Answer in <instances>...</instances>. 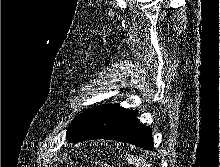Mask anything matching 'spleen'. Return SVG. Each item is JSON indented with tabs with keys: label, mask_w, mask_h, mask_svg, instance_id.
Segmentation results:
<instances>
[{
	"label": "spleen",
	"mask_w": 220,
	"mask_h": 167,
	"mask_svg": "<svg viewBox=\"0 0 220 167\" xmlns=\"http://www.w3.org/2000/svg\"><path fill=\"white\" fill-rule=\"evenodd\" d=\"M126 160L130 163L135 165V167H151L145 159H142L140 157H136L134 155H128L126 157Z\"/></svg>",
	"instance_id": "obj_1"
}]
</instances>
